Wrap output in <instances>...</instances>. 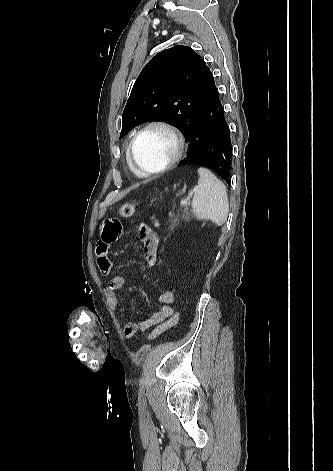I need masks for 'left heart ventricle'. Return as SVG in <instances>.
Listing matches in <instances>:
<instances>
[{"mask_svg":"<svg viewBox=\"0 0 333 471\" xmlns=\"http://www.w3.org/2000/svg\"><path fill=\"white\" fill-rule=\"evenodd\" d=\"M174 152L175 142L172 135L161 128H152L143 133L134 148L136 162L147 170L162 167Z\"/></svg>","mask_w":333,"mask_h":471,"instance_id":"1","label":"left heart ventricle"}]
</instances>
